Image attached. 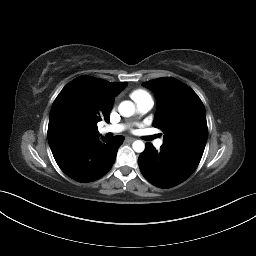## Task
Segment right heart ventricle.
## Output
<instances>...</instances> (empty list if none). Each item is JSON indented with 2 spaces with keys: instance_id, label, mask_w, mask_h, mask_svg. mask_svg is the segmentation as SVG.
<instances>
[{
  "instance_id": "e07e8e85",
  "label": "right heart ventricle",
  "mask_w": 256,
  "mask_h": 256,
  "mask_svg": "<svg viewBox=\"0 0 256 256\" xmlns=\"http://www.w3.org/2000/svg\"><path fill=\"white\" fill-rule=\"evenodd\" d=\"M131 98L137 103L152 100L151 95L144 89H136L131 92Z\"/></svg>"
}]
</instances>
